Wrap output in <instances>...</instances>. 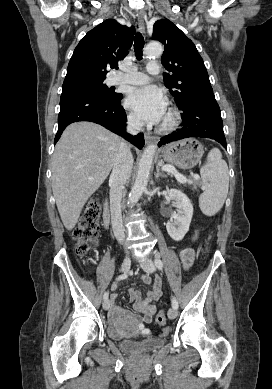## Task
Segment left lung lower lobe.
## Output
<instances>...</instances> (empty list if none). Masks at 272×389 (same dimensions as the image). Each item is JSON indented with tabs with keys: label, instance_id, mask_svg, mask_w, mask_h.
<instances>
[{
	"label": "left lung lower lobe",
	"instance_id": "1",
	"mask_svg": "<svg viewBox=\"0 0 272 389\" xmlns=\"http://www.w3.org/2000/svg\"><path fill=\"white\" fill-rule=\"evenodd\" d=\"M182 110L183 128L162 138L159 147L184 138L203 137L213 139L227 149L220 108L214 93L193 99Z\"/></svg>",
	"mask_w": 272,
	"mask_h": 389
}]
</instances>
